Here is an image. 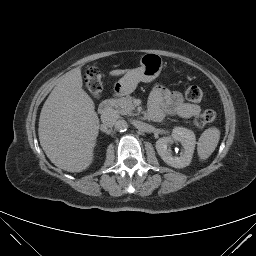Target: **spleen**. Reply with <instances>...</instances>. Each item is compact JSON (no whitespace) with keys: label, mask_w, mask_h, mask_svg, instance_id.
Listing matches in <instances>:
<instances>
[{"label":"spleen","mask_w":256,"mask_h":256,"mask_svg":"<svg viewBox=\"0 0 256 256\" xmlns=\"http://www.w3.org/2000/svg\"><path fill=\"white\" fill-rule=\"evenodd\" d=\"M220 139V131L216 127L206 129L200 136L197 144L198 156L205 160L216 149Z\"/></svg>","instance_id":"spleen-1"}]
</instances>
